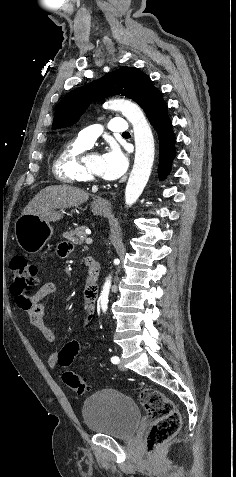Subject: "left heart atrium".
<instances>
[{
  "label": "left heart atrium",
  "mask_w": 236,
  "mask_h": 477,
  "mask_svg": "<svg viewBox=\"0 0 236 477\" xmlns=\"http://www.w3.org/2000/svg\"><path fill=\"white\" fill-rule=\"evenodd\" d=\"M127 164L126 156L115 145H111L107 151L101 155V171L103 176L107 179L120 177L125 172Z\"/></svg>",
  "instance_id": "39dd6f15"
}]
</instances>
